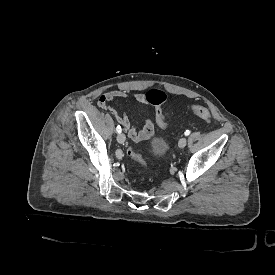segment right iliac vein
Listing matches in <instances>:
<instances>
[{"label":"right iliac vein","instance_id":"1","mask_svg":"<svg viewBox=\"0 0 275 275\" xmlns=\"http://www.w3.org/2000/svg\"><path fill=\"white\" fill-rule=\"evenodd\" d=\"M126 140V137L123 133H119L117 135V141L120 143V144H123Z\"/></svg>","mask_w":275,"mask_h":275}]
</instances>
